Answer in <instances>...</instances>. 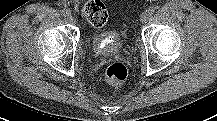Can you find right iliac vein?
<instances>
[{"label": "right iliac vein", "mask_w": 217, "mask_h": 121, "mask_svg": "<svg viewBox=\"0 0 217 121\" xmlns=\"http://www.w3.org/2000/svg\"><path fill=\"white\" fill-rule=\"evenodd\" d=\"M69 21L72 23V24H76V19L73 17V16H69Z\"/></svg>", "instance_id": "obj_1"}]
</instances>
